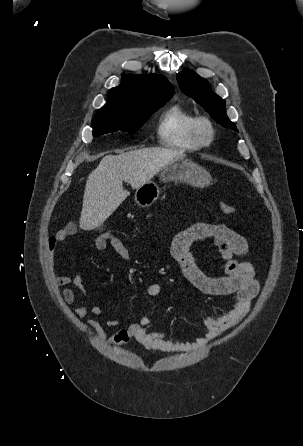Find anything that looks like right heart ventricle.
<instances>
[{
  "mask_svg": "<svg viewBox=\"0 0 303 446\" xmlns=\"http://www.w3.org/2000/svg\"><path fill=\"white\" fill-rule=\"evenodd\" d=\"M195 119V115L180 104L168 107L160 116L157 125L160 145L181 151L199 150L201 146L192 132Z\"/></svg>",
  "mask_w": 303,
  "mask_h": 446,
  "instance_id": "e07e8e85",
  "label": "right heart ventricle"
}]
</instances>
